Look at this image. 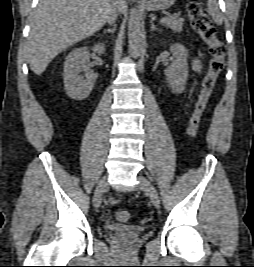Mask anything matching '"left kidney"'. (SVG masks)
<instances>
[{"label": "left kidney", "mask_w": 254, "mask_h": 267, "mask_svg": "<svg viewBox=\"0 0 254 267\" xmlns=\"http://www.w3.org/2000/svg\"><path fill=\"white\" fill-rule=\"evenodd\" d=\"M174 61L165 70L166 80L174 94H181L189 75L187 57L188 50L184 45L175 43L170 47Z\"/></svg>", "instance_id": "5707ae66"}]
</instances>
